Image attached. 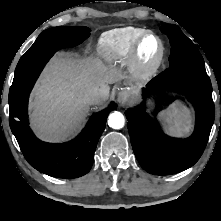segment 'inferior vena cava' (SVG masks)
Instances as JSON below:
<instances>
[{"instance_id": "inferior-vena-cava-1", "label": "inferior vena cava", "mask_w": 221, "mask_h": 221, "mask_svg": "<svg viewBox=\"0 0 221 221\" xmlns=\"http://www.w3.org/2000/svg\"><path fill=\"white\" fill-rule=\"evenodd\" d=\"M103 96V90L98 87H93L88 90L86 93V101L89 104L99 103Z\"/></svg>"}]
</instances>
